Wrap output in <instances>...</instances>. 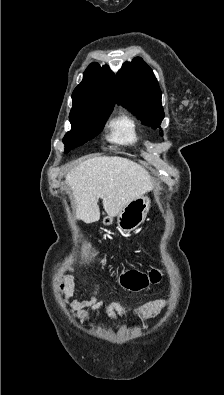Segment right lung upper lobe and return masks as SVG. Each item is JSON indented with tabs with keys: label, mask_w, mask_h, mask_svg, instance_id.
Segmentation results:
<instances>
[{
	"label": "right lung upper lobe",
	"mask_w": 224,
	"mask_h": 395,
	"mask_svg": "<svg viewBox=\"0 0 224 395\" xmlns=\"http://www.w3.org/2000/svg\"><path fill=\"white\" fill-rule=\"evenodd\" d=\"M72 97L83 98L95 105L113 108L114 75L108 66L93 63L84 72L83 81L75 88Z\"/></svg>",
	"instance_id": "obj_1"
}]
</instances>
